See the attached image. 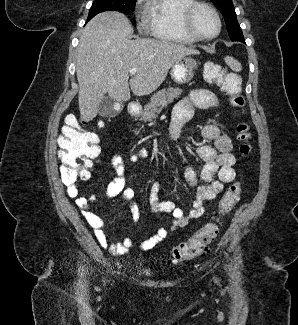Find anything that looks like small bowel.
<instances>
[{
    "instance_id": "c3829d8e",
    "label": "small bowel",
    "mask_w": 298,
    "mask_h": 325,
    "mask_svg": "<svg viewBox=\"0 0 298 325\" xmlns=\"http://www.w3.org/2000/svg\"><path fill=\"white\" fill-rule=\"evenodd\" d=\"M195 107L199 109L219 108L220 100L209 90L196 89L179 101L173 110L169 126V135L173 140L179 139L183 126L193 117ZM201 133L202 137L207 141H212L214 146L204 144L197 149V154L205 162L200 176L204 184L198 185L197 176L192 169L188 168L185 172L187 182L191 186H196V199L193 202L192 210L185 214L172 201H160V185L158 182H154L149 192L150 209L156 214L170 213L172 223L169 229L160 228L156 234L142 242L140 244L141 249H152L166 238L169 231L185 227L190 221L200 218L205 212V204L222 192L224 184L235 179L234 165L236 158L232 153L230 134L215 124L205 125ZM148 156L149 153L146 149H140L126 156L114 155L111 159L116 177L107 185L105 194L109 198L121 197L126 201L129 204L132 219L135 223L140 220V210L133 202L134 190L126 187L125 175L128 164L137 163ZM67 193L70 197L75 198L76 205L81 209L86 222L93 229L98 243L103 248H107L113 254H125L133 248L134 243L129 237L124 238L121 243L108 245L104 233V222L99 215L92 211L91 199L79 196L77 185L67 186Z\"/></svg>"
}]
</instances>
